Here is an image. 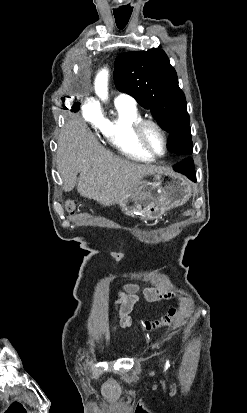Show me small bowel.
Masks as SVG:
<instances>
[{"label":"small bowel","instance_id":"c3829d8e","mask_svg":"<svg viewBox=\"0 0 247 413\" xmlns=\"http://www.w3.org/2000/svg\"><path fill=\"white\" fill-rule=\"evenodd\" d=\"M139 289V286L134 283H125L118 288V299L115 302V320L113 322L114 330L125 329L132 325L131 313L136 310L140 300ZM144 296L150 301L173 298L172 293L157 289H146Z\"/></svg>","mask_w":247,"mask_h":413}]
</instances>
